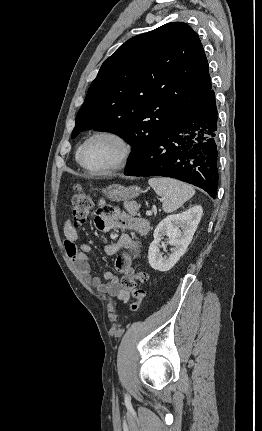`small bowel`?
<instances>
[{
	"label": "small bowel",
	"mask_w": 262,
	"mask_h": 431,
	"mask_svg": "<svg viewBox=\"0 0 262 431\" xmlns=\"http://www.w3.org/2000/svg\"><path fill=\"white\" fill-rule=\"evenodd\" d=\"M105 200L97 202L98 208H104ZM95 224L98 229L104 231L113 230H135L136 233L145 237L149 231V222L141 217H131L125 211H116L110 215H97ZM65 249L69 260L74 265L80 277L101 295H108L119 302L126 301L127 294L122 291L120 276L112 272H106L103 280L93 273V267L87 253L91 252V246L78 243V234L72 221L67 219L64 223ZM130 250L131 255L120 254L116 260V267L122 276H130L133 273V261L140 257L142 252L141 243L132 235L124 233L119 238L108 244L104 251L108 256H114L120 251Z\"/></svg>",
	"instance_id": "c3829d8e"
}]
</instances>
